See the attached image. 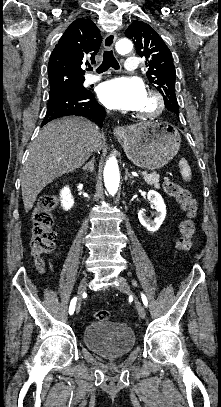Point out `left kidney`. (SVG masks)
Instances as JSON below:
<instances>
[{"instance_id": "left-kidney-1", "label": "left kidney", "mask_w": 221, "mask_h": 407, "mask_svg": "<svg viewBox=\"0 0 221 407\" xmlns=\"http://www.w3.org/2000/svg\"><path fill=\"white\" fill-rule=\"evenodd\" d=\"M147 197L151 204L154 206L155 219L151 220L150 218L146 217L143 210H140L138 212V218L141 225L144 226L148 231L155 232L160 228L166 217V205L162 196L154 190H150L147 194Z\"/></svg>"}]
</instances>
